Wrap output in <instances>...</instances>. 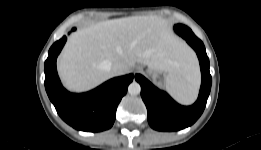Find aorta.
I'll return each mask as SVG.
<instances>
[{"label": "aorta", "instance_id": "762f6f07", "mask_svg": "<svg viewBox=\"0 0 261 150\" xmlns=\"http://www.w3.org/2000/svg\"><path fill=\"white\" fill-rule=\"evenodd\" d=\"M141 91V86L138 82L133 81L129 87H128V92L131 95H138Z\"/></svg>", "mask_w": 261, "mask_h": 150}]
</instances>
